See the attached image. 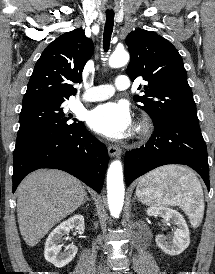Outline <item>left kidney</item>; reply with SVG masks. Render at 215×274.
Instances as JSON below:
<instances>
[{
    "label": "left kidney",
    "instance_id": "left-kidney-1",
    "mask_svg": "<svg viewBox=\"0 0 215 274\" xmlns=\"http://www.w3.org/2000/svg\"><path fill=\"white\" fill-rule=\"evenodd\" d=\"M146 212L148 216H161L166 220H170L176 226L173 237H166L161 234L156 236L155 241L162 251L168 255L175 256L181 254L189 246V229L179 212L164 206L150 207Z\"/></svg>",
    "mask_w": 215,
    "mask_h": 274
}]
</instances>
